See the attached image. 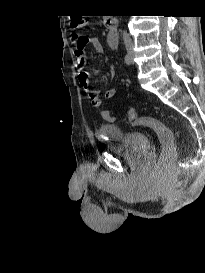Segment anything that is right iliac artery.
Segmentation results:
<instances>
[{"mask_svg":"<svg viewBox=\"0 0 205 273\" xmlns=\"http://www.w3.org/2000/svg\"><path fill=\"white\" fill-rule=\"evenodd\" d=\"M124 62L127 64V65H130L131 64V58L128 54L125 55L124 57Z\"/></svg>","mask_w":205,"mask_h":273,"instance_id":"82829eb1","label":"right iliac artery"}]
</instances>
